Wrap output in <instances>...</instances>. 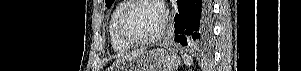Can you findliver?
I'll return each mask as SVG.
<instances>
[{
	"instance_id": "1",
	"label": "liver",
	"mask_w": 301,
	"mask_h": 71,
	"mask_svg": "<svg viewBox=\"0 0 301 71\" xmlns=\"http://www.w3.org/2000/svg\"><path fill=\"white\" fill-rule=\"evenodd\" d=\"M139 52L137 53H132V54H129V55H122L115 63H118L121 59L123 58H126V57H131V56H136Z\"/></svg>"
}]
</instances>
